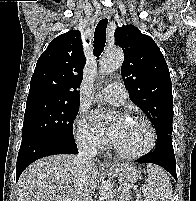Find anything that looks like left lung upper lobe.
Wrapping results in <instances>:
<instances>
[{"instance_id":"obj_1","label":"left lung upper lobe","mask_w":196,"mask_h":201,"mask_svg":"<svg viewBox=\"0 0 196 201\" xmlns=\"http://www.w3.org/2000/svg\"><path fill=\"white\" fill-rule=\"evenodd\" d=\"M124 51L121 74L129 97L151 120L157 137L172 134L173 96L167 63L154 40L133 25L118 27Z\"/></svg>"}]
</instances>
